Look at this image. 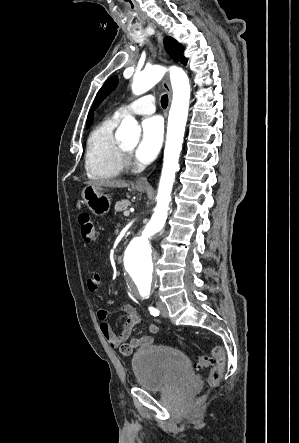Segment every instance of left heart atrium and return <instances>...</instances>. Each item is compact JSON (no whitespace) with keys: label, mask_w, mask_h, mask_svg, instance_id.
<instances>
[{"label":"left heart atrium","mask_w":299,"mask_h":443,"mask_svg":"<svg viewBox=\"0 0 299 443\" xmlns=\"http://www.w3.org/2000/svg\"><path fill=\"white\" fill-rule=\"evenodd\" d=\"M163 138V121L152 116L142 123V136L136 148V157L143 163L150 162L157 154Z\"/></svg>","instance_id":"obj_1"}]
</instances>
